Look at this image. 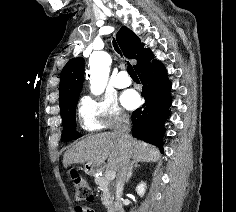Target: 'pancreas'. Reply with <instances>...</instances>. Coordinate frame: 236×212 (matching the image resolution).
<instances>
[{
	"mask_svg": "<svg viewBox=\"0 0 236 212\" xmlns=\"http://www.w3.org/2000/svg\"><path fill=\"white\" fill-rule=\"evenodd\" d=\"M95 183L100 187L102 190V204L109 208L112 203V192L110 189V181L106 177H95Z\"/></svg>",
	"mask_w": 236,
	"mask_h": 212,
	"instance_id": "obj_1",
	"label": "pancreas"
}]
</instances>
